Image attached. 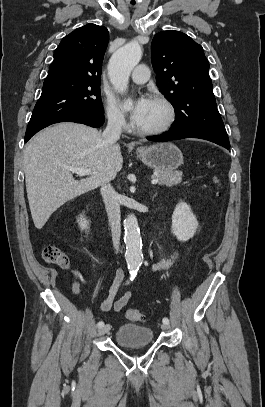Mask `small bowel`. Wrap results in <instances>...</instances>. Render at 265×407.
I'll return each mask as SVG.
<instances>
[{"mask_svg":"<svg viewBox=\"0 0 265 407\" xmlns=\"http://www.w3.org/2000/svg\"><path fill=\"white\" fill-rule=\"evenodd\" d=\"M178 257V252L175 251L172 256L166 260H162L155 265V269L157 270H164L170 267ZM74 281L72 284L73 292L76 295H80L81 292V272L79 269L73 270ZM124 271H119L113 281V284L110 287L108 296L105 300H103L99 306L98 310L100 312H108L110 310H114L115 312H120L130 301L131 292L124 293L120 298L115 300V296L117 294L119 285L124 277Z\"/></svg>","mask_w":265,"mask_h":407,"instance_id":"c3829d8e","label":"small bowel"}]
</instances>
